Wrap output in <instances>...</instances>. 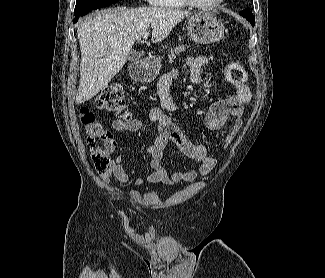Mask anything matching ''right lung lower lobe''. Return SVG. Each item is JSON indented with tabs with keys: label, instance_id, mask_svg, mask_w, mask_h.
Returning a JSON list of instances; mask_svg holds the SVG:
<instances>
[{
	"label": "right lung lower lobe",
	"instance_id": "1",
	"mask_svg": "<svg viewBox=\"0 0 325 278\" xmlns=\"http://www.w3.org/2000/svg\"><path fill=\"white\" fill-rule=\"evenodd\" d=\"M88 12H86V13H80V14H78L77 16H75V18L73 19V23H76L77 21H78V19L81 17V16H84V15H86Z\"/></svg>",
	"mask_w": 325,
	"mask_h": 278
}]
</instances>
